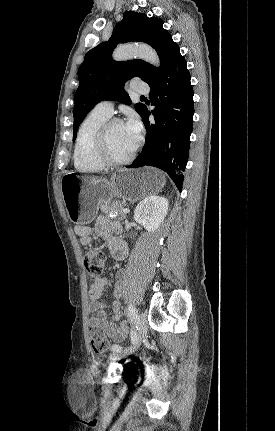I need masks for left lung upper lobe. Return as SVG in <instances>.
<instances>
[{"label": "left lung upper lobe", "instance_id": "left-lung-upper-lobe-1", "mask_svg": "<svg viewBox=\"0 0 275 431\" xmlns=\"http://www.w3.org/2000/svg\"><path fill=\"white\" fill-rule=\"evenodd\" d=\"M162 25L163 21L159 18L126 12L111 38L86 53L84 62L78 69L79 87L75 92L73 141L80 123L97 103L102 100H117L130 105L131 100L124 90L125 82L133 77H140L148 83L160 73L171 50L177 45ZM134 41L148 43L157 51L161 69L139 59L126 62L112 60V51L118 43ZM145 108L141 103L135 105L141 117Z\"/></svg>", "mask_w": 275, "mask_h": 431}]
</instances>
